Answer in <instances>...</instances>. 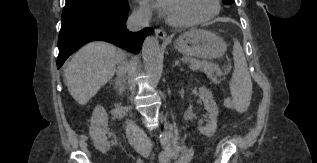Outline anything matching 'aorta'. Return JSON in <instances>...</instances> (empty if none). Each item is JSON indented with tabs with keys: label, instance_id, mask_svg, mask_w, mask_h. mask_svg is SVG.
<instances>
[{
	"label": "aorta",
	"instance_id": "1",
	"mask_svg": "<svg viewBox=\"0 0 317 163\" xmlns=\"http://www.w3.org/2000/svg\"><path fill=\"white\" fill-rule=\"evenodd\" d=\"M142 57L145 70L153 84H157L162 70V57L159 41L154 36H147L143 42Z\"/></svg>",
	"mask_w": 317,
	"mask_h": 163
}]
</instances>
